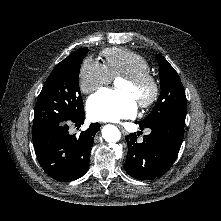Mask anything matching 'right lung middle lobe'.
Segmentation results:
<instances>
[{
  "instance_id": "1",
  "label": "right lung middle lobe",
  "mask_w": 221,
  "mask_h": 221,
  "mask_svg": "<svg viewBox=\"0 0 221 221\" xmlns=\"http://www.w3.org/2000/svg\"><path fill=\"white\" fill-rule=\"evenodd\" d=\"M88 48H81L62 60L43 85L35 106L32 136L46 127L83 114L79 89L80 64Z\"/></svg>"
}]
</instances>
